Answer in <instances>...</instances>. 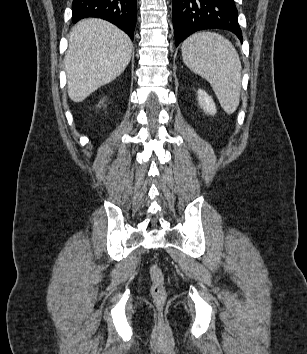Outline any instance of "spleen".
Masks as SVG:
<instances>
[{
	"mask_svg": "<svg viewBox=\"0 0 307 354\" xmlns=\"http://www.w3.org/2000/svg\"><path fill=\"white\" fill-rule=\"evenodd\" d=\"M181 51L185 65L210 83L221 107L232 114L241 91V62L232 43L217 33L199 32L183 41Z\"/></svg>",
	"mask_w": 307,
	"mask_h": 354,
	"instance_id": "spleen-1",
	"label": "spleen"
}]
</instances>
